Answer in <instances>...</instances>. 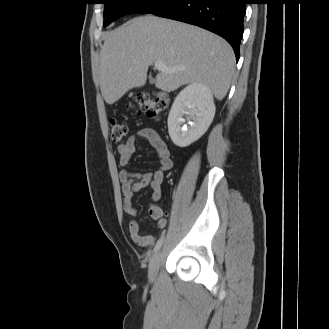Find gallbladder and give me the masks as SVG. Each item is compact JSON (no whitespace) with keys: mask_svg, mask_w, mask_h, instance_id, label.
I'll list each match as a JSON object with an SVG mask.
<instances>
[{"mask_svg":"<svg viewBox=\"0 0 329 329\" xmlns=\"http://www.w3.org/2000/svg\"><path fill=\"white\" fill-rule=\"evenodd\" d=\"M150 82L153 83L154 82V79L153 78H150Z\"/></svg>","mask_w":329,"mask_h":329,"instance_id":"gallbladder-1","label":"gallbladder"}]
</instances>
